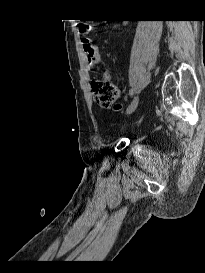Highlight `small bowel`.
I'll list each match as a JSON object with an SVG mask.
<instances>
[{
	"mask_svg": "<svg viewBox=\"0 0 205 273\" xmlns=\"http://www.w3.org/2000/svg\"><path fill=\"white\" fill-rule=\"evenodd\" d=\"M82 48L83 51L88 59V61L92 65H102L103 59L102 55L99 51V48L89 39H83L82 40ZM105 79L111 80L112 76L109 72H106L104 74Z\"/></svg>",
	"mask_w": 205,
	"mask_h": 273,
	"instance_id": "c3829d8e",
	"label": "small bowel"
}]
</instances>
